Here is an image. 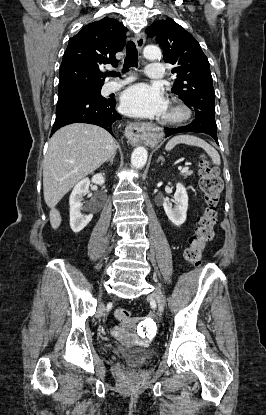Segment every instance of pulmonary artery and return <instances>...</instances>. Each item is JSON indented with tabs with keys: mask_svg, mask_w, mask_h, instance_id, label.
<instances>
[{
	"mask_svg": "<svg viewBox=\"0 0 266 415\" xmlns=\"http://www.w3.org/2000/svg\"><path fill=\"white\" fill-rule=\"evenodd\" d=\"M163 65L160 63H150L146 68V74L149 78L159 80L163 78ZM131 78L121 81L110 82L106 86L108 92H113L121 88L124 84L128 83Z\"/></svg>",
	"mask_w": 266,
	"mask_h": 415,
	"instance_id": "1",
	"label": "pulmonary artery"
}]
</instances>
